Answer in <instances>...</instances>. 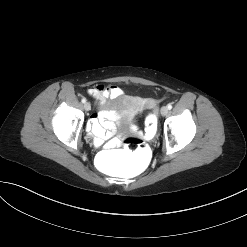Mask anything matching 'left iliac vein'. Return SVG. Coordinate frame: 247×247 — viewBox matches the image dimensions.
Returning <instances> with one entry per match:
<instances>
[{
    "mask_svg": "<svg viewBox=\"0 0 247 247\" xmlns=\"http://www.w3.org/2000/svg\"><path fill=\"white\" fill-rule=\"evenodd\" d=\"M168 108L166 106H163L160 110L162 116H166L168 114Z\"/></svg>",
    "mask_w": 247,
    "mask_h": 247,
    "instance_id": "left-iliac-vein-1",
    "label": "left iliac vein"
}]
</instances>
